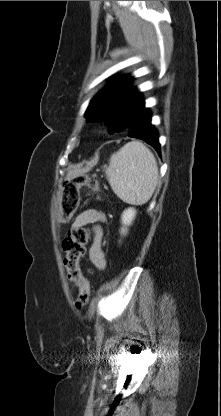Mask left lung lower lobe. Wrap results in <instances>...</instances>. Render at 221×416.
Listing matches in <instances>:
<instances>
[{
    "instance_id": "0a47b994",
    "label": "left lung lower lobe",
    "mask_w": 221,
    "mask_h": 416,
    "mask_svg": "<svg viewBox=\"0 0 221 416\" xmlns=\"http://www.w3.org/2000/svg\"><path fill=\"white\" fill-rule=\"evenodd\" d=\"M127 135L132 138H138L151 145L160 155V144L158 133L151 124V112L144 107L142 102L136 109L131 123L128 127Z\"/></svg>"
}]
</instances>
